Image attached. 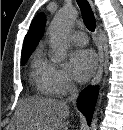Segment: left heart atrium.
<instances>
[{
	"label": "left heart atrium",
	"instance_id": "obj_1",
	"mask_svg": "<svg viewBox=\"0 0 123 130\" xmlns=\"http://www.w3.org/2000/svg\"><path fill=\"white\" fill-rule=\"evenodd\" d=\"M69 65L74 78L84 82L90 78L96 69V55L90 49L76 50L70 57Z\"/></svg>",
	"mask_w": 123,
	"mask_h": 130
}]
</instances>
